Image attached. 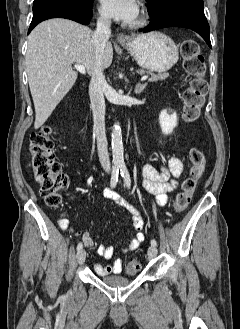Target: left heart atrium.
<instances>
[{
	"mask_svg": "<svg viewBox=\"0 0 240 329\" xmlns=\"http://www.w3.org/2000/svg\"><path fill=\"white\" fill-rule=\"evenodd\" d=\"M102 12L109 18L133 22L138 16L136 0H100Z\"/></svg>",
	"mask_w": 240,
	"mask_h": 329,
	"instance_id": "1",
	"label": "left heart atrium"
}]
</instances>
